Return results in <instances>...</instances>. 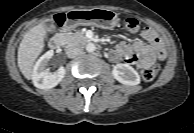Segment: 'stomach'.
I'll list each match as a JSON object with an SVG mask.
<instances>
[{
    "instance_id": "stomach-1",
    "label": "stomach",
    "mask_w": 194,
    "mask_h": 133,
    "mask_svg": "<svg viewBox=\"0 0 194 133\" xmlns=\"http://www.w3.org/2000/svg\"><path fill=\"white\" fill-rule=\"evenodd\" d=\"M117 23L118 15L111 10L102 8L81 9L69 12L67 27L72 29L79 25H94L103 29H112Z\"/></svg>"
}]
</instances>
